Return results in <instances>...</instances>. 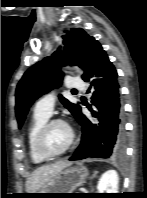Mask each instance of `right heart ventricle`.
<instances>
[{
  "label": "right heart ventricle",
  "mask_w": 147,
  "mask_h": 198,
  "mask_svg": "<svg viewBox=\"0 0 147 198\" xmlns=\"http://www.w3.org/2000/svg\"><path fill=\"white\" fill-rule=\"evenodd\" d=\"M49 116L34 113L26 133L28 154L31 161L35 164L44 163L47 158L41 156L35 146L36 135L41 128V126L48 120Z\"/></svg>",
  "instance_id": "1"
}]
</instances>
